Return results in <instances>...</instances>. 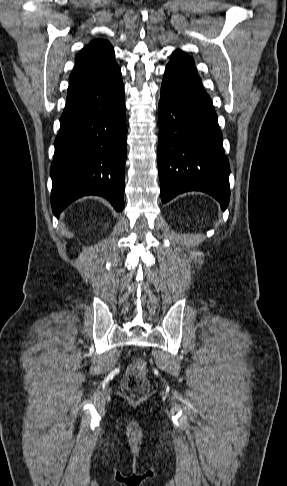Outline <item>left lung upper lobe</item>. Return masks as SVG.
<instances>
[{"mask_svg":"<svg viewBox=\"0 0 287 486\" xmlns=\"http://www.w3.org/2000/svg\"><path fill=\"white\" fill-rule=\"evenodd\" d=\"M172 57L177 58L178 60L184 62L185 64L189 65L190 67L196 70L193 58L188 56L183 51L181 50L174 51Z\"/></svg>","mask_w":287,"mask_h":486,"instance_id":"obj_1","label":"left lung upper lobe"}]
</instances>
